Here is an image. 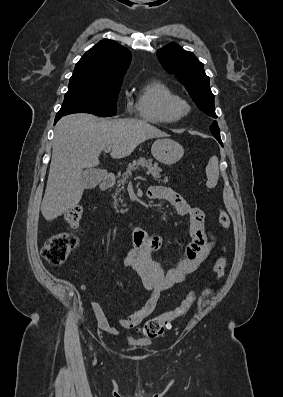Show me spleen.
<instances>
[{"mask_svg": "<svg viewBox=\"0 0 283 397\" xmlns=\"http://www.w3.org/2000/svg\"><path fill=\"white\" fill-rule=\"evenodd\" d=\"M206 175H207V186L209 188H213L217 185L219 178V165L218 158L216 156H212L209 159L208 165L206 166Z\"/></svg>", "mask_w": 283, "mask_h": 397, "instance_id": "3e777b00", "label": "spleen"}]
</instances>
